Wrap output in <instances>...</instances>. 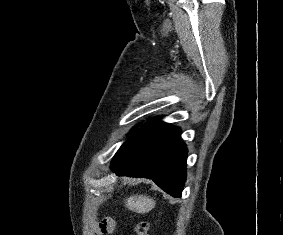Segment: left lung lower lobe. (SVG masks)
<instances>
[{"label": "left lung lower lobe", "instance_id": "left-lung-lower-lobe-1", "mask_svg": "<svg viewBox=\"0 0 283 235\" xmlns=\"http://www.w3.org/2000/svg\"><path fill=\"white\" fill-rule=\"evenodd\" d=\"M180 128L156 119L120 147L111 162L117 175L152 179L173 197H180L186 178L187 148L180 139Z\"/></svg>", "mask_w": 283, "mask_h": 235}]
</instances>
